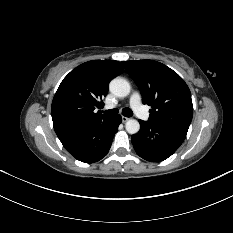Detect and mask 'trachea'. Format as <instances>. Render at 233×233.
<instances>
[{"instance_id": "trachea-1", "label": "trachea", "mask_w": 233, "mask_h": 233, "mask_svg": "<svg viewBox=\"0 0 233 233\" xmlns=\"http://www.w3.org/2000/svg\"><path fill=\"white\" fill-rule=\"evenodd\" d=\"M106 115L108 116H114V115H117L118 114V109H110V110H107L104 112ZM122 114L125 116V117H131L133 115V112L130 108H124L122 110Z\"/></svg>"}]
</instances>
